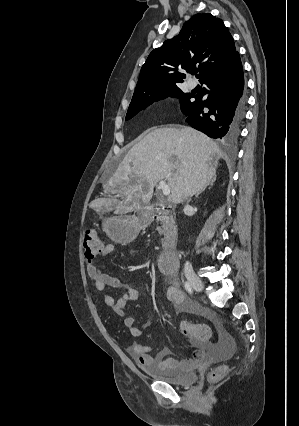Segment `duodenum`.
<instances>
[{
	"label": "duodenum",
	"instance_id": "obj_1",
	"mask_svg": "<svg viewBox=\"0 0 299 426\" xmlns=\"http://www.w3.org/2000/svg\"><path fill=\"white\" fill-rule=\"evenodd\" d=\"M163 209V205H155L148 207L146 210L139 214V222L144 224L153 221ZM175 247V238L171 237L167 239L165 243V248L158 258V267L160 271L166 275H173L177 270L178 258Z\"/></svg>",
	"mask_w": 299,
	"mask_h": 426
}]
</instances>
